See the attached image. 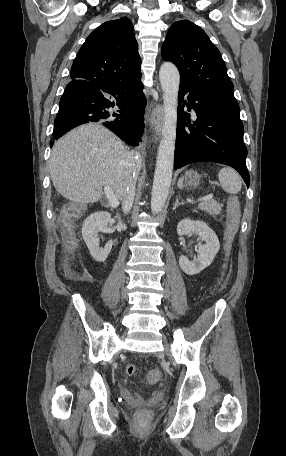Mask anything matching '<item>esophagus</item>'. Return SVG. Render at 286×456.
I'll return each mask as SVG.
<instances>
[{
    "instance_id": "34e87169",
    "label": "esophagus",
    "mask_w": 286,
    "mask_h": 456,
    "mask_svg": "<svg viewBox=\"0 0 286 456\" xmlns=\"http://www.w3.org/2000/svg\"><path fill=\"white\" fill-rule=\"evenodd\" d=\"M164 109L161 104H156L150 107L149 110V123L153 129V141L157 143L161 136L163 126Z\"/></svg>"
}]
</instances>
